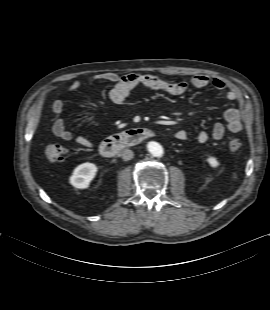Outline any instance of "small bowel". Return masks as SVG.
Masks as SVG:
<instances>
[{
  "instance_id": "1",
  "label": "small bowel",
  "mask_w": 270,
  "mask_h": 310,
  "mask_svg": "<svg viewBox=\"0 0 270 310\" xmlns=\"http://www.w3.org/2000/svg\"><path fill=\"white\" fill-rule=\"evenodd\" d=\"M95 81H103L113 83V87L110 91V99L117 104L123 103L131 94L132 90L136 87L142 86L153 90H159L171 95H181L188 91L190 86L202 89L209 85L213 86L217 90H225L226 98L229 101H238L240 99V93L234 88H227L224 81L218 78H210L207 75H197L187 81L169 82L160 79L154 75L149 74H126L118 75L113 72H106L98 74L92 77ZM82 85L81 81H75L69 87L70 91L78 90ZM63 100H56L52 104V112L55 115V119L52 125L53 133L56 137L63 141L74 140L79 146L84 148H92L94 144L91 140L84 136L74 137L72 132L65 126L63 119L60 117L64 110ZM226 125L222 123H215L211 130V136L220 140L223 138L226 130L231 133H238L242 130V116L241 112L237 108H229L224 114ZM175 138L180 141L187 140L188 134L184 130H178L175 133ZM209 139V134L205 131H200L197 135L199 143H205Z\"/></svg>"
}]
</instances>
